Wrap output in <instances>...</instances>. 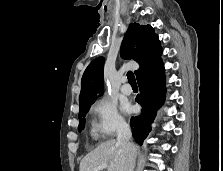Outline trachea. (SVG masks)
<instances>
[{
    "mask_svg": "<svg viewBox=\"0 0 223 171\" xmlns=\"http://www.w3.org/2000/svg\"><path fill=\"white\" fill-rule=\"evenodd\" d=\"M127 78H128V82H129L130 84H136V80H135V77H134L133 72L129 71V72L127 73Z\"/></svg>",
    "mask_w": 223,
    "mask_h": 171,
    "instance_id": "trachea-1",
    "label": "trachea"
}]
</instances>
